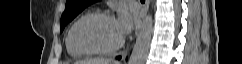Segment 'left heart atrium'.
Wrapping results in <instances>:
<instances>
[{"instance_id":"left-heart-atrium-1","label":"left heart atrium","mask_w":242,"mask_h":64,"mask_svg":"<svg viewBox=\"0 0 242 64\" xmlns=\"http://www.w3.org/2000/svg\"><path fill=\"white\" fill-rule=\"evenodd\" d=\"M135 21L136 18L128 11H120L118 17L115 20V26L121 38H124L126 35L132 32Z\"/></svg>"}]
</instances>
